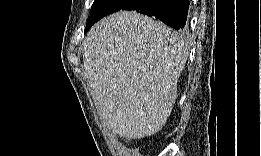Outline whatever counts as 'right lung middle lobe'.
<instances>
[{"label":"right lung middle lobe","instance_id":"dd1d6c3e","mask_svg":"<svg viewBox=\"0 0 261 156\" xmlns=\"http://www.w3.org/2000/svg\"><path fill=\"white\" fill-rule=\"evenodd\" d=\"M131 0H95L91 8V19L87 21L85 31L100 20L102 17L120 10L127 5Z\"/></svg>","mask_w":261,"mask_h":156}]
</instances>
